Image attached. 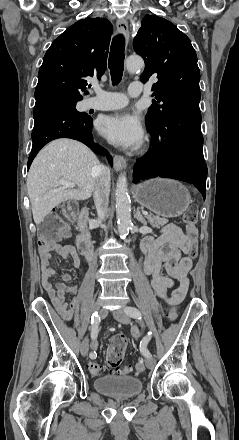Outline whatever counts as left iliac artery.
I'll use <instances>...</instances> for the list:
<instances>
[{"label":"left iliac artery","mask_w":239,"mask_h":440,"mask_svg":"<svg viewBox=\"0 0 239 440\" xmlns=\"http://www.w3.org/2000/svg\"><path fill=\"white\" fill-rule=\"evenodd\" d=\"M124 310H125L126 314H128L132 318H135V319L142 318L141 312L135 307L128 306ZM151 338H152V332H148V334L140 342V351L146 358H149L152 356L151 353L149 352V350L147 349V344Z\"/></svg>","instance_id":"44dca946"}]
</instances>
